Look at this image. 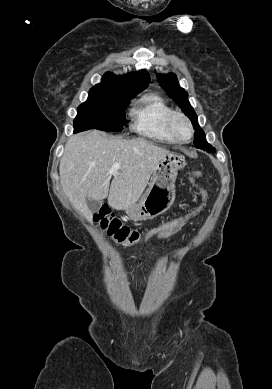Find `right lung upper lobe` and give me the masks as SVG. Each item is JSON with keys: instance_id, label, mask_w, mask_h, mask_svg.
I'll use <instances>...</instances> for the list:
<instances>
[{"instance_id": "right-lung-upper-lobe-1", "label": "right lung upper lobe", "mask_w": 272, "mask_h": 389, "mask_svg": "<svg viewBox=\"0 0 272 389\" xmlns=\"http://www.w3.org/2000/svg\"><path fill=\"white\" fill-rule=\"evenodd\" d=\"M150 82V77L146 70L118 77L112 73H107L100 84L91 89L116 91L126 94H137L142 92Z\"/></svg>"}]
</instances>
